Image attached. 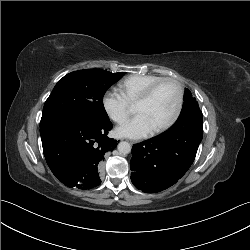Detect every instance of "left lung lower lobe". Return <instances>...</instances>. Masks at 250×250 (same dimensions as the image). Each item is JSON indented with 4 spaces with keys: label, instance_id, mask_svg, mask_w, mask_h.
<instances>
[{
    "label": "left lung lower lobe",
    "instance_id": "0a47b994",
    "mask_svg": "<svg viewBox=\"0 0 250 250\" xmlns=\"http://www.w3.org/2000/svg\"><path fill=\"white\" fill-rule=\"evenodd\" d=\"M203 136V119L179 117L166 132L132 147L131 181L147 193L174 185L193 163Z\"/></svg>",
    "mask_w": 250,
    "mask_h": 250
}]
</instances>
